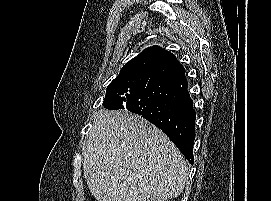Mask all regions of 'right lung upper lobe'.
<instances>
[{"instance_id":"obj_1","label":"right lung upper lobe","mask_w":271,"mask_h":201,"mask_svg":"<svg viewBox=\"0 0 271 201\" xmlns=\"http://www.w3.org/2000/svg\"><path fill=\"white\" fill-rule=\"evenodd\" d=\"M169 52L162 49L160 46H152L146 48L137 57L130 60L127 64L123 66L120 73H126L136 70H149L154 64H156L160 59L168 55Z\"/></svg>"}]
</instances>
